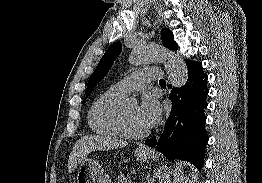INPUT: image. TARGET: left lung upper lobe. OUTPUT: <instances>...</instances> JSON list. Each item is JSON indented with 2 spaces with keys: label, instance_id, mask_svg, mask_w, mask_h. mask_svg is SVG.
<instances>
[{
  "label": "left lung upper lobe",
  "instance_id": "5c2ea615",
  "mask_svg": "<svg viewBox=\"0 0 262 183\" xmlns=\"http://www.w3.org/2000/svg\"><path fill=\"white\" fill-rule=\"evenodd\" d=\"M161 38L163 44L170 48L175 50L177 48V44L174 41L173 34L169 29H162L161 30ZM121 52V43L116 42L113 43L105 52L101 60L99 61L95 71L92 73L87 89H86V95L88 96L93 89L95 88L96 84L100 82L104 76L108 73L110 67L112 66L114 60ZM85 101V100H84Z\"/></svg>",
  "mask_w": 262,
  "mask_h": 183
}]
</instances>
